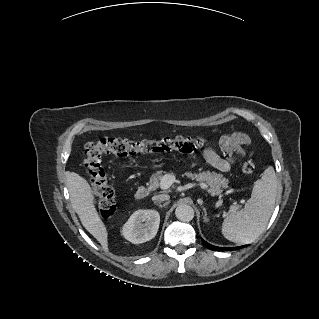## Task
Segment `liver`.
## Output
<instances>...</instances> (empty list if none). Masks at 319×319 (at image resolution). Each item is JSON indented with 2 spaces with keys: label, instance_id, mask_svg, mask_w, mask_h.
Returning <instances> with one entry per match:
<instances>
[{
  "label": "liver",
  "instance_id": "liver-1",
  "mask_svg": "<svg viewBox=\"0 0 319 319\" xmlns=\"http://www.w3.org/2000/svg\"><path fill=\"white\" fill-rule=\"evenodd\" d=\"M71 203L85 229L92 234L104 249H108V232L96 207L95 197L87 180L71 172L67 177Z\"/></svg>",
  "mask_w": 319,
  "mask_h": 319
}]
</instances>
